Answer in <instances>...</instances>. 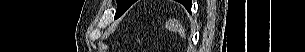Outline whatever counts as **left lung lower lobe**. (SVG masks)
Masks as SVG:
<instances>
[{"label": "left lung lower lobe", "instance_id": "0a47b994", "mask_svg": "<svg viewBox=\"0 0 305 52\" xmlns=\"http://www.w3.org/2000/svg\"><path fill=\"white\" fill-rule=\"evenodd\" d=\"M186 7H187V9H191V3L189 2Z\"/></svg>", "mask_w": 305, "mask_h": 52}]
</instances>
